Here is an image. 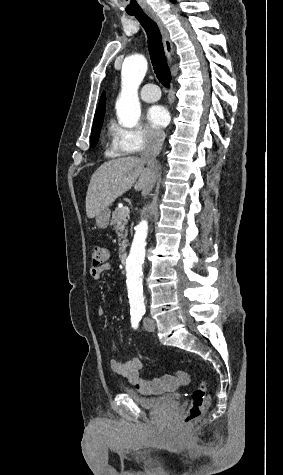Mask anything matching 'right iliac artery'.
<instances>
[{
	"mask_svg": "<svg viewBox=\"0 0 283 475\" xmlns=\"http://www.w3.org/2000/svg\"><path fill=\"white\" fill-rule=\"evenodd\" d=\"M131 323H132V327L134 329H137L138 327V324H139V321L141 320L142 318V314L139 313V312H131Z\"/></svg>",
	"mask_w": 283,
	"mask_h": 475,
	"instance_id": "82829eb1",
	"label": "right iliac artery"
}]
</instances>
